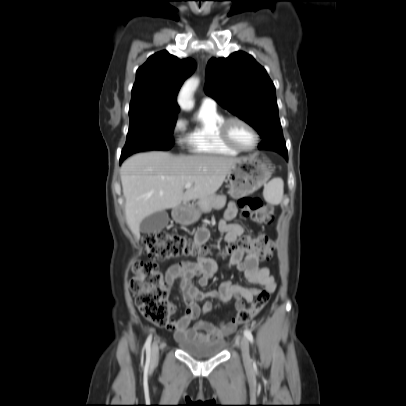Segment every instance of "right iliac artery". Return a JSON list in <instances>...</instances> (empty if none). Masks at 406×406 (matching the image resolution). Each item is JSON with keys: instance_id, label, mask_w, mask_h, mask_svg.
<instances>
[{"instance_id": "right-iliac-artery-1", "label": "right iliac artery", "mask_w": 406, "mask_h": 406, "mask_svg": "<svg viewBox=\"0 0 406 406\" xmlns=\"http://www.w3.org/2000/svg\"><path fill=\"white\" fill-rule=\"evenodd\" d=\"M151 341H152V335H149L148 338H147V340H146V342H145V345H144V348L146 349V359H147V363L150 362V356H151Z\"/></svg>"}]
</instances>
